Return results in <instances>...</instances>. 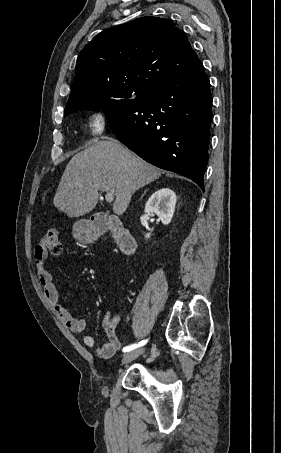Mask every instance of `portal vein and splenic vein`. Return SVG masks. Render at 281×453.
<instances>
[{
  "instance_id": "obj_1",
  "label": "portal vein and splenic vein",
  "mask_w": 281,
  "mask_h": 453,
  "mask_svg": "<svg viewBox=\"0 0 281 453\" xmlns=\"http://www.w3.org/2000/svg\"><path fill=\"white\" fill-rule=\"evenodd\" d=\"M105 198L107 202H112V200H114L113 192H106Z\"/></svg>"
}]
</instances>
